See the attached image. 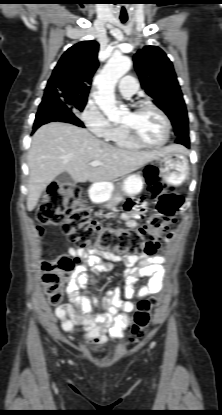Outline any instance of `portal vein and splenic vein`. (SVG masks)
<instances>
[{"label": "portal vein and splenic vein", "mask_w": 222, "mask_h": 415, "mask_svg": "<svg viewBox=\"0 0 222 415\" xmlns=\"http://www.w3.org/2000/svg\"><path fill=\"white\" fill-rule=\"evenodd\" d=\"M102 163H100V162H98V161H92V162H90L89 163V165L90 166H93V167H96V166H99V165H101Z\"/></svg>", "instance_id": "obj_1"}]
</instances>
